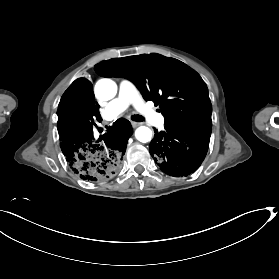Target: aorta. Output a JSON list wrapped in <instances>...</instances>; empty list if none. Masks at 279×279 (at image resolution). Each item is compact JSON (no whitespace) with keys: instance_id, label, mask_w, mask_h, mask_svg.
I'll return each mask as SVG.
<instances>
[{"instance_id":"762f6f07","label":"aorta","mask_w":279,"mask_h":279,"mask_svg":"<svg viewBox=\"0 0 279 279\" xmlns=\"http://www.w3.org/2000/svg\"><path fill=\"white\" fill-rule=\"evenodd\" d=\"M94 92L99 100L108 101L115 97L117 85L109 78L100 79L95 85ZM135 137L138 141L147 143L152 138V131L146 126H140L135 131Z\"/></svg>"}]
</instances>
